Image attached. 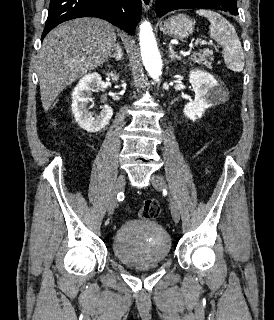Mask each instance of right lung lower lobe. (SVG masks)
<instances>
[{
  "label": "right lung lower lobe",
  "instance_id": "98d812e1",
  "mask_svg": "<svg viewBox=\"0 0 274 320\" xmlns=\"http://www.w3.org/2000/svg\"><path fill=\"white\" fill-rule=\"evenodd\" d=\"M141 0H50L41 40L58 24L79 17H97L135 33L141 16Z\"/></svg>",
  "mask_w": 274,
  "mask_h": 320
}]
</instances>
